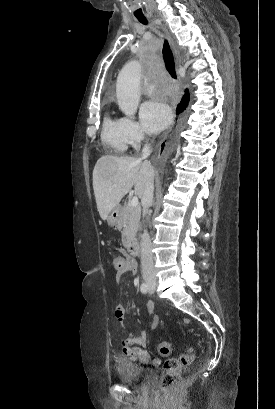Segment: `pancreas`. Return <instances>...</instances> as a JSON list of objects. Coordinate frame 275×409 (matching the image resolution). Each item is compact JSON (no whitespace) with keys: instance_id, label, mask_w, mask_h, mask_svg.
I'll list each match as a JSON object with an SVG mask.
<instances>
[{"instance_id":"pancreas-1","label":"pancreas","mask_w":275,"mask_h":409,"mask_svg":"<svg viewBox=\"0 0 275 409\" xmlns=\"http://www.w3.org/2000/svg\"><path fill=\"white\" fill-rule=\"evenodd\" d=\"M139 205L132 207L131 202L124 205L118 223V227H124L122 231V245L123 247H130L131 241L135 239V235L139 229L140 213Z\"/></svg>"}]
</instances>
